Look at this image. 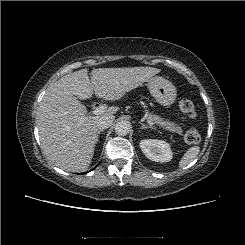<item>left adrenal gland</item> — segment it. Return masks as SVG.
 I'll use <instances>...</instances> for the list:
<instances>
[{"label":"left adrenal gland","mask_w":245,"mask_h":245,"mask_svg":"<svg viewBox=\"0 0 245 245\" xmlns=\"http://www.w3.org/2000/svg\"><path fill=\"white\" fill-rule=\"evenodd\" d=\"M139 124L141 125V129H147V128H153L152 126H147V125H145L144 123H142V122H139Z\"/></svg>","instance_id":"obj_1"}]
</instances>
